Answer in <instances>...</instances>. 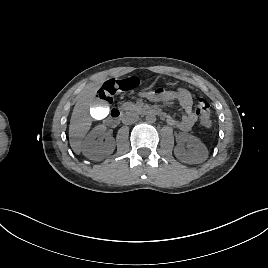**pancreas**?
Instances as JSON below:
<instances>
[{"label":"pancreas","mask_w":268,"mask_h":268,"mask_svg":"<svg viewBox=\"0 0 268 268\" xmlns=\"http://www.w3.org/2000/svg\"><path fill=\"white\" fill-rule=\"evenodd\" d=\"M139 104H133L132 102H125L122 104L121 108L124 110H131L134 109Z\"/></svg>","instance_id":"1"}]
</instances>
